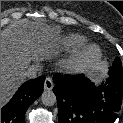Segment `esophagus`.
<instances>
[{"label":"esophagus","mask_w":123,"mask_h":123,"mask_svg":"<svg viewBox=\"0 0 123 123\" xmlns=\"http://www.w3.org/2000/svg\"><path fill=\"white\" fill-rule=\"evenodd\" d=\"M54 83L50 77H47L44 82V89L45 90H52Z\"/></svg>","instance_id":"34e87169"}]
</instances>
